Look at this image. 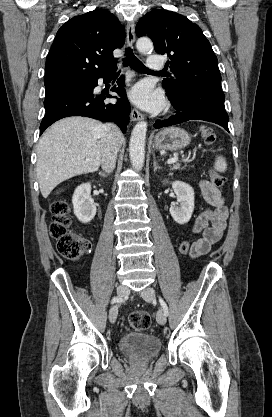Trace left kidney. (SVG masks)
Wrapping results in <instances>:
<instances>
[{"label":"left kidney","mask_w":272,"mask_h":417,"mask_svg":"<svg viewBox=\"0 0 272 417\" xmlns=\"http://www.w3.org/2000/svg\"><path fill=\"white\" fill-rule=\"evenodd\" d=\"M172 188L177 196V204L170 207V214L178 224H186L194 211V190L181 181L172 182Z\"/></svg>","instance_id":"left-kidney-1"}]
</instances>
